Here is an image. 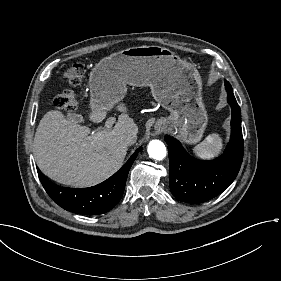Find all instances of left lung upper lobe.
<instances>
[{"label": "left lung upper lobe", "mask_w": 281, "mask_h": 281, "mask_svg": "<svg viewBox=\"0 0 281 281\" xmlns=\"http://www.w3.org/2000/svg\"><path fill=\"white\" fill-rule=\"evenodd\" d=\"M225 87H226L227 93L228 92H233L230 83L228 81H226V80H225Z\"/></svg>", "instance_id": "obj_1"}]
</instances>
